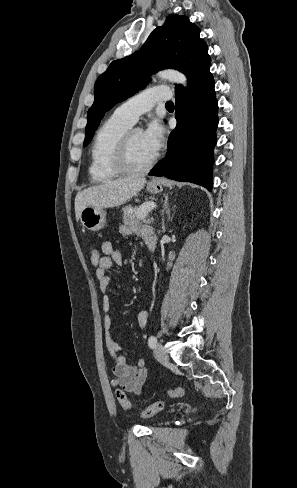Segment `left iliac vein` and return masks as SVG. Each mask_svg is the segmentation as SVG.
<instances>
[{
  "mask_svg": "<svg viewBox=\"0 0 297 488\" xmlns=\"http://www.w3.org/2000/svg\"><path fill=\"white\" fill-rule=\"evenodd\" d=\"M155 358L161 362L166 363L169 360V356L165 348L161 344H157L153 350Z\"/></svg>",
  "mask_w": 297,
  "mask_h": 488,
  "instance_id": "left-iliac-vein-1",
  "label": "left iliac vein"
}]
</instances>
